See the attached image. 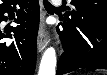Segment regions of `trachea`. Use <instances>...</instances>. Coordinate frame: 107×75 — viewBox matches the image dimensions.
Listing matches in <instances>:
<instances>
[{"label":"trachea","mask_w":107,"mask_h":75,"mask_svg":"<svg viewBox=\"0 0 107 75\" xmlns=\"http://www.w3.org/2000/svg\"><path fill=\"white\" fill-rule=\"evenodd\" d=\"M44 6L45 8H48V9H57L56 7H53L48 1H44Z\"/></svg>","instance_id":"trachea-1"}]
</instances>
